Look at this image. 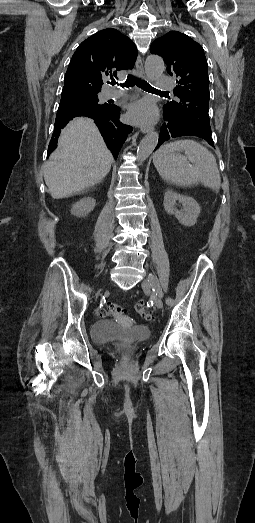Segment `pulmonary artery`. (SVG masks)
<instances>
[{"label": "pulmonary artery", "mask_w": 255, "mask_h": 523, "mask_svg": "<svg viewBox=\"0 0 255 523\" xmlns=\"http://www.w3.org/2000/svg\"><path fill=\"white\" fill-rule=\"evenodd\" d=\"M157 82V89L163 92H171L174 90L175 85L172 78L167 77L166 75L158 74L155 77ZM126 90L124 88L113 86L106 91V96L109 99H115L123 96ZM172 98H175V95H172Z\"/></svg>", "instance_id": "e3ab8cb5"}]
</instances>
